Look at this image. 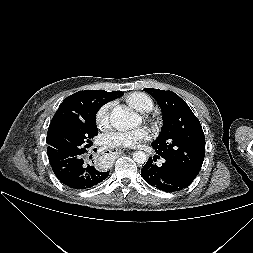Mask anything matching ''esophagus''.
Wrapping results in <instances>:
<instances>
[{"label": "esophagus", "instance_id": "esophagus-1", "mask_svg": "<svg viewBox=\"0 0 253 253\" xmlns=\"http://www.w3.org/2000/svg\"><path fill=\"white\" fill-rule=\"evenodd\" d=\"M105 152L106 154H114V155L122 154V150L118 148H110V149H107Z\"/></svg>", "mask_w": 253, "mask_h": 253}]
</instances>
